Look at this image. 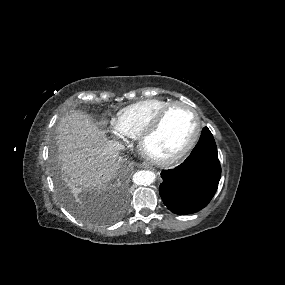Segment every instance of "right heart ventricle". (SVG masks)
Listing matches in <instances>:
<instances>
[{
  "label": "right heart ventricle",
  "mask_w": 285,
  "mask_h": 285,
  "mask_svg": "<svg viewBox=\"0 0 285 285\" xmlns=\"http://www.w3.org/2000/svg\"><path fill=\"white\" fill-rule=\"evenodd\" d=\"M171 103L172 101L160 98L141 100L122 108L116 120L125 132L139 137L158 113Z\"/></svg>",
  "instance_id": "1"
}]
</instances>
